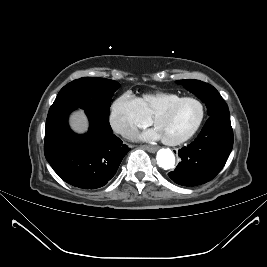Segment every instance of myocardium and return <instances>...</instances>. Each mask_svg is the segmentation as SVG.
Here are the masks:
<instances>
[{"mask_svg":"<svg viewBox=\"0 0 267 267\" xmlns=\"http://www.w3.org/2000/svg\"><path fill=\"white\" fill-rule=\"evenodd\" d=\"M186 101H194L199 105L200 116H199L197 122L195 123V125L192 127V129L188 133H186L184 136L177 138V139H165V138H163V142L167 145L177 146V145L183 144L195 135V133L201 127V125L204 121V118H205L206 109H205L204 103L199 98L194 97V96L181 97L180 99H178V100L168 104L167 106L163 107L162 109L158 110L152 117V123L156 126V123L160 117L170 113L177 106H179L180 104H182L183 102H186Z\"/></svg>","mask_w":267,"mask_h":267,"instance_id":"f54148a6","label":"myocardium"}]
</instances>
